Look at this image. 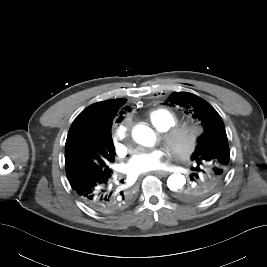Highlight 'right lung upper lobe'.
Masks as SVG:
<instances>
[{
	"label": "right lung upper lobe",
	"instance_id": "right-lung-upper-lobe-1",
	"mask_svg": "<svg viewBox=\"0 0 267 267\" xmlns=\"http://www.w3.org/2000/svg\"><path fill=\"white\" fill-rule=\"evenodd\" d=\"M125 103V99H113L90 105L76 117L68 134H71L76 129L84 128L96 135L101 141L111 133L113 119ZM121 114L122 112H120ZM121 119L122 116L118 120L121 121Z\"/></svg>",
	"mask_w": 267,
	"mask_h": 267
}]
</instances>
